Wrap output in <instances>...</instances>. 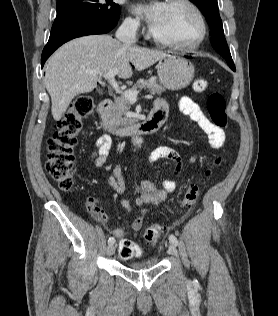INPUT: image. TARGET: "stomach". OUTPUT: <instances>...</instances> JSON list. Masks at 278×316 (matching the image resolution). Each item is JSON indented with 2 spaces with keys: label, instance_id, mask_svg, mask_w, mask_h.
Returning <instances> with one entry per match:
<instances>
[{
  "label": "stomach",
  "instance_id": "0dacf381",
  "mask_svg": "<svg viewBox=\"0 0 278 316\" xmlns=\"http://www.w3.org/2000/svg\"><path fill=\"white\" fill-rule=\"evenodd\" d=\"M194 66L185 56L167 55L157 64L158 78L169 90H181L194 78Z\"/></svg>",
  "mask_w": 278,
  "mask_h": 316
}]
</instances>
